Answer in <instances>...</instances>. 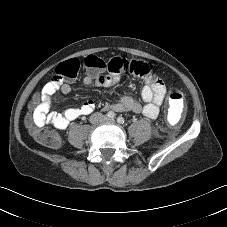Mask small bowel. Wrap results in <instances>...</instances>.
<instances>
[{"instance_id": "obj_1", "label": "small bowel", "mask_w": 227, "mask_h": 227, "mask_svg": "<svg viewBox=\"0 0 227 227\" xmlns=\"http://www.w3.org/2000/svg\"><path fill=\"white\" fill-rule=\"evenodd\" d=\"M114 62L115 66L113 69H110L108 75L86 76L83 80L84 85L88 87H110L115 85L119 80L117 69H128L129 64L132 62L124 59H114ZM143 78L146 81V85L141 90V100L144 102V105H141L130 97H126L116 104H109L107 109H113L116 111H133L136 113L141 112L146 117L155 119L158 116L160 106L165 99L166 88L162 80L153 72V70H151L150 75L143 76ZM70 91L71 87L69 84L64 83L61 85L60 93L62 95H66ZM57 97L58 95L55 94V91L53 93H48L44 90L42 103L32 106L33 115L28 119L29 127L53 125L58 129H65L71 121L80 116L90 114L96 107L93 100H88L84 102L82 106L77 108H69L63 112H50L51 105Z\"/></svg>"}]
</instances>
